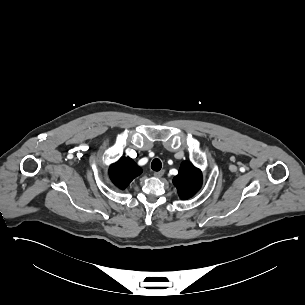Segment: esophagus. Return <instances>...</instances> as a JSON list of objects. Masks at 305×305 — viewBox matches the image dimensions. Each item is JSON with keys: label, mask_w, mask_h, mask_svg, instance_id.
I'll list each match as a JSON object with an SVG mask.
<instances>
[{"label": "esophagus", "mask_w": 305, "mask_h": 305, "mask_svg": "<svg viewBox=\"0 0 305 305\" xmlns=\"http://www.w3.org/2000/svg\"><path fill=\"white\" fill-rule=\"evenodd\" d=\"M164 173H165V170H161V171L155 172L154 176L156 178H160V177H162L164 175Z\"/></svg>", "instance_id": "34e87169"}]
</instances>
